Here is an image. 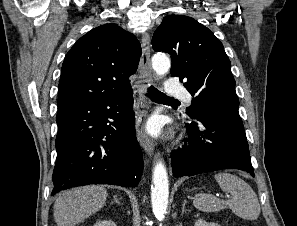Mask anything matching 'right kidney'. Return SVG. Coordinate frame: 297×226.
<instances>
[{
	"instance_id": "right-kidney-1",
	"label": "right kidney",
	"mask_w": 297,
	"mask_h": 226,
	"mask_svg": "<svg viewBox=\"0 0 297 226\" xmlns=\"http://www.w3.org/2000/svg\"><path fill=\"white\" fill-rule=\"evenodd\" d=\"M94 226H116V224L111 220H102L96 222Z\"/></svg>"
}]
</instances>
